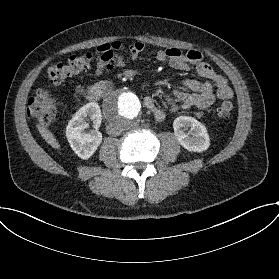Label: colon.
I'll return each instance as SVG.
<instances>
[{"instance_id": "1", "label": "colon", "mask_w": 279, "mask_h": 279, "mask_svg": "<svg viewBox=\"0 0 279 279\" xmlns=\"http://www.w3.org/2000/svg\"><path fill=\"white\" fill-rule=\"evenodd\" d=\"M92 60L89 54L72 55L65 62H54L47 66L46 73L51 84L61 85L66 79L83 73ZM217 117L226 120L233 111L230 100L222 99L217 104ZM56 113V103L49 88H42L35 92L29 100V114L42 124L53 121Z\"/></svg>"}]
</instances>
